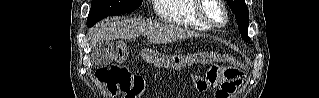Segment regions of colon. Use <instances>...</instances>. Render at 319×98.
<instances>
[{"instance_id": "obj_1", "label": "colon", "mask_w": 319, "mask_h": 98, "mask_svg": "<svg viewBox=\"0 0 319 98\" xmlns=\"http://www.w3.org/2000/svg\"><path fill=\"white\" fill-rule=\"evenodd\" d=\"M127 56V49L123 44H119L116 48V60L123 62ZM142 56L151 65L166 69H179L197 62L205 63L209 60H216L217 62L212 64L206 73L207 85L219 87L215 98H228L242 84V69L229 63L228 57L212 51L166 55L146 49L142 52ZM96 76L97 80L106 86L112 96L116 93H122L126 98H136L142 93L145 86L142 77L133 75L125 67L118 65L99 69Z\"/></svg>"}]
</instances>
